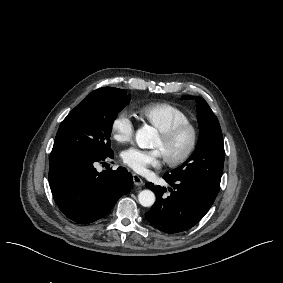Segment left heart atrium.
<instances>
[{"label":"left heart atrium","mask_w":283,"mask_h":283,"mask_svg":"<svg viewBox=\"0 0 283 283\" xmlns=\"http://www.w3.org/2000/svg\"><path fill=\"white\" fill-rule=\"evenodd\" d=\"M123 161L137 172H143L150 166H158L163 155L159 149L141 150L128 148L122 153Z\"/></svg>","instance_id":"39dd6f15"}]
</instances>
